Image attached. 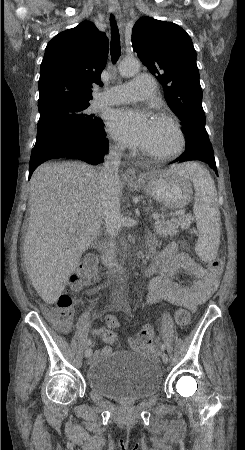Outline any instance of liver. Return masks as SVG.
I'll use <instances>...</instances> for the list:
<instances>
[{
    "label": "liver",
    "mask_w": 245,
    "mask_h": 450,
    "mask_svg": "<svg viewBox=\"0 0 245 450\" xmlns=\"http://www.w3.org/2000/svg\"><path fill=\"white\" fill-rule=\"evenodd\" d=\"M98 172L78 162L44 163L30 180L24 263L39 296L54 304L82 253L101 231L104 210ZM123 183L119 181V196ZM75 228L76 233L68 232Z\"/></svg>",
    "instance_id": "obj_1"
}]
</instances>
